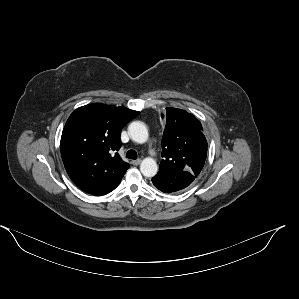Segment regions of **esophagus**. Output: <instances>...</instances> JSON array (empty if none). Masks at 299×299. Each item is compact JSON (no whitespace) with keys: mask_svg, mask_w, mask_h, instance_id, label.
Listing matches in <instances>:
<instances>
[{"mask_svg":"<svg viewBox=\"0 0 299 299\" xmlns=\"http://www.w3.org/2000/svg\"><path fill=\"white\" fill-rule=\"evenodd\" d=\"M131 163L133 165H139L141 163V159H137V160H132Z\"/></svg>","mask_w":299,"mask_h":299,"instance_id":"34e87169","label":"esophagus"}]
</instances>
